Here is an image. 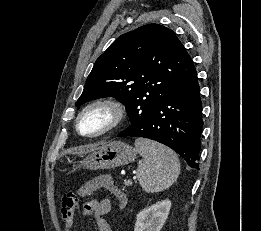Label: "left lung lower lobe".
<instances>
[{"mask_svg": "<svg viewBox=\"0 0 261 231\" xmlns=\"http://www.w3.org/2000/svg\"><path fill=\"white\" fill-rule=\"evenodd\" d=\"M202 102L196 70L142 121L131 124L118 137L134 136L158 141L182 156L188 165L199 167Z\"/></svg>", "mask_w": 261, "mask_h": 231, "instance_id": "obj_1", "label": "left lung lower lobe"}]
</instances>
